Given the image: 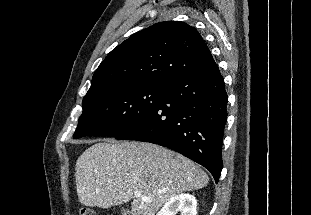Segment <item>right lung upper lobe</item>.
Masks as SVG:
<instances>
[{
	"mask_svg": "<svg viewBox=\"0 0 311 215\" xmlns=\"http://www.w3.org/2000/svg\"><path fill=\"white\" fill-rule=\"evenodd\" d=\"M214 63L196 28L181 21L154 24L131 35L100 64L86 96L134 85H160Z\"/></svg>",
	"mask_w": 311,
	"mask_h": 215,
	"instance_id": "1",
	"label": "right lung upper lobe"
}]
</instances>
